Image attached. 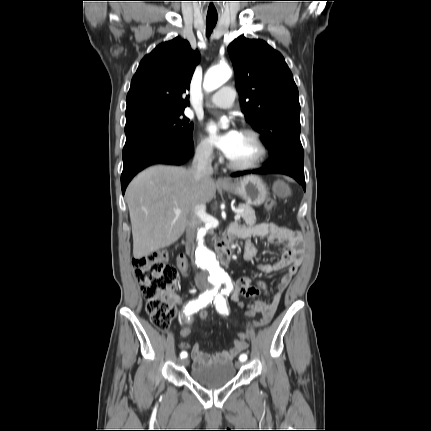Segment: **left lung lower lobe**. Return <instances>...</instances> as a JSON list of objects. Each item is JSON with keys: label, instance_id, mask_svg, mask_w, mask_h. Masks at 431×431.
<instances>
[{"label": "left lung lower lobe", "instance_id": "1", "mask_svg": "<svg viewBox=\"0 0 431 431\" xmlns=\"http://www.w3.org/2000/svg\"><path fill=\"white\" fill-rule=\"evenodd\" d=\"M304 151L303 149H296L291 147H282L273 154H271L269 160L265 163L266 167L253 171H243L233 173L232 176L237 177L244 174L256 173V174H286L293 177L299 182L305 190V178H304Z\"/></svg>", "mask_w": 431, "mask_h": 431}]
</instances>
